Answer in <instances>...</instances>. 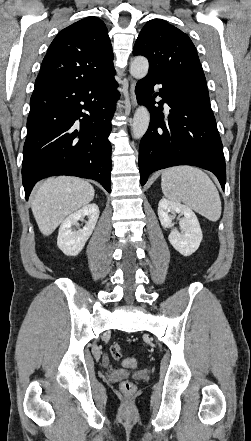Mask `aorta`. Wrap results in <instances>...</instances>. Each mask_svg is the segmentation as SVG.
I'll return each mask as SVG.
<instances>
[{"label":"aorta","instance_id":"obj_1","mask_svg":"<svg viewBox=\"0 0 251 441\" xmlns=\"http://www.w3.org/2000/svg\"><path fill=\"white\" fill-rule=\"evenodd\" d=\"M149 69L148 60L143 56H138L133 59L130 64V73L136 79L144 78ZM150 123V114L145 106L137 108L134 114L132 123V136L135 139H140L147 131Z\"/></svg>","mask_w":251,"mask_h":441}]
</instances>
